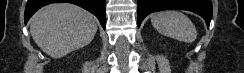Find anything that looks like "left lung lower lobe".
<instances>
[{
	"instance_id": "obj_1",
	"label": "left lung lower lobe",
	"mask_w": 244,
	"mask_h": 73,
	"mask_svg": "<svg viewBox=\"0 0 244 73\" xmlns=\"http://www.w3.org/2000/svg\"><path fill=\"white\" fill-rule=\"evenodd\" d=\"M168 9L192 11L202 16L207 25L210 24L212 19L211 0H138V27H140L143 19L150 13Z\"/></svg>"
}]
</instances>
